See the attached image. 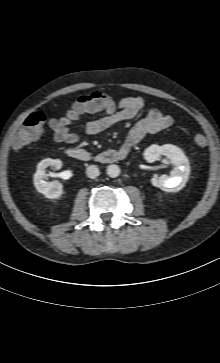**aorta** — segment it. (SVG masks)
<instances>
[{
	"mask_svg": "<svg viewBox=\"0 0 220 363\" xmlns=\"http://www.w3.org/2000/svg\"><path fill=\"white\" fill-rule=\"evenodd\" d=\"M107 175L111 178H116L119 176L120 174V168L118 165H115V164H111L107 167Z\"/></svg>",
	"mask_w": 220,
	"mask_h": 363,
	"instance_id": "1",
	"label": "aorta"
}]
</instances>
